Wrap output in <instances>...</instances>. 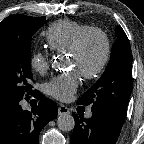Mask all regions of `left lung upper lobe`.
<instances>
[{
  "instance_id": "left-lung-upper-lobe-1",
  "label": "left lung upper lobe",
  "mask_w": 144,
  "mask_h": 144,
  "mask_svg": "<svg viewBox=\"0 0 144 144\" xmlns=\"http://www.w3.org/2000/svg\"><path fill=\"white\" fill-rule=\"evenodd\" d=\"M117 41L102 77L78 100V104L104 107L126 116L132 91V54L129 40L121 26L116 27Z\"/></svg>"
}]
</instances>
